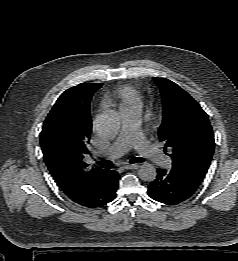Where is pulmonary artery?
Segmentation results:
<instances>
[{"instance_id": "1", "label": "pulmonary artery", "mask_w": 238, "mask_h": 261, "mask_svg": "<svg viewBox=\"0 0 238 261\" xmlns=\"http://www.w3.org/2000/svg\"><path fill=\"white\" fill-rule=\"evenodd\" d=\"M122 128L117 139L101 154L110 159L118 158L135 148L142 156L153 163L168 167L171 159L163 155L150 144L140 131V113L130 112L122 114Z\"/></svg>"}]
</instances>
